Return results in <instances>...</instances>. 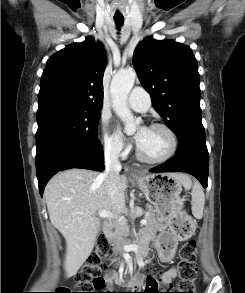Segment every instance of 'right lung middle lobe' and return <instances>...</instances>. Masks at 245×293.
I'll return each mask as SVG.
<instances>
[{"mask_svg": "<svg viewBox=\"0 0 245 293\" xmlns=\"http://www.w3.org/2000/svg\"><path fill=\"white\" fill-rule=\"evenodd\" d=\"M100 110L48 107L37 111L36 164L65 146H98Z\"/></svg>", "mask_w": 245, "mask_h": 293, "instance_id": "right-lung-middle-lobe-1", "label": "right lung middle lobe"}]
</instances>
